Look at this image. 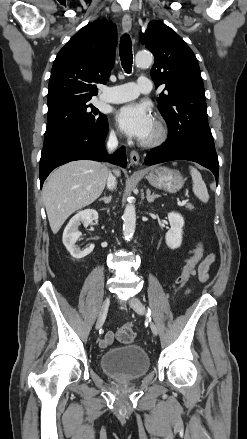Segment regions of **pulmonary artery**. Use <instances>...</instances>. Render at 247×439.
Returning a JSON list of instances; mask_svg holds the SVG:
<instances>
[{"instance_id": "obj_1", "label": "pulmonary artery", "mask_w": 247, "mask_h": 439, "mask_svg": "<svg viewBox=\"0 0 247 439\" xmlns=\"http://www.w3.org/2000/svg\"><path fill=\"white\" fill-rule=\"evenodd\" d=\"M151 90V80L147 77H140L136 83L130 82L106 88L102 100L108 103H123L135 99L141 93H149Z\"/></svg>"}]
</instances>
